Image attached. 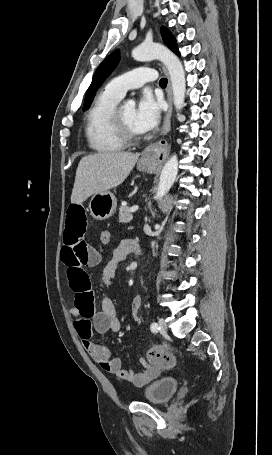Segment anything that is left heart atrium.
I'll return each instance as SVG.
<instances>
[{
  "label": "left heart atrium",
  "mask_w": 272,
  "mask_h": 455,
  "mask_svg": "<svg viewBox=\"0 0 272 455\" xmlns=\"http://www.w3.org/2000/svg\"><path fill=\"white\" fill-rule=\"evenodd\" d=\"M162 105L150 93L140 98L135 109L134 126L138 133H146L154 129L160 120Z\"/></svg>",
  "instance_id": "1"
}]
</instances>
